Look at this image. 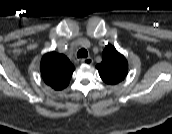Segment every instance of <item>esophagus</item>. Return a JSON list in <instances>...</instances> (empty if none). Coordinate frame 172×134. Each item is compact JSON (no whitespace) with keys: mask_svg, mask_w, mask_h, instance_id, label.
<instances>
[{"mask_svg":"<svg viewBox=\"0 0 172 134\" xmlns=\"http://www.w3.org/2000/svg\"><path fill=\"white\" fill-rule=\"evenodd\" d=\"M81 63L84 65H92L93 64V59L88 57V58H82Z\"/></svg>","mask_w":172,"mask_h":134,"instance_id":"34e87169","label":"esophagus"}]
</instances>
